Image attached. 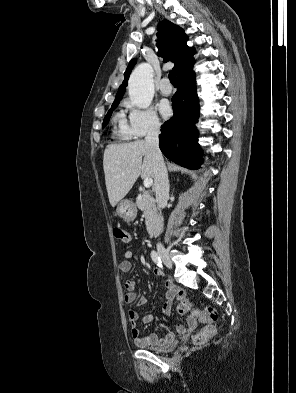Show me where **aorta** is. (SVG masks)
<instances>
[{
  "label": "aorta",
  "instance_id": "obj_1",
  "mask_svg": "<svg viewBox=\"0 0 296 393\" xmlns=\"http://www.w3.org/2000/svg\"><path fill=\"white\" fill-rule=\"evenodd\" d=\"M131 102L139 108H147L154 97L153 69L148 63L138 65L128 81Z\"/></svg>",
  "mask_w": 296,
  "mask_h": 393
}]
</instances>
